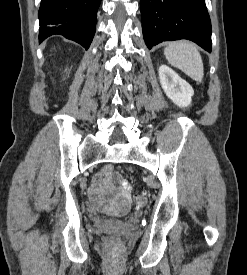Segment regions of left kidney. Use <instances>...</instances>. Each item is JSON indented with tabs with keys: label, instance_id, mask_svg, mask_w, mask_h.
I'll return each instance as SVG.
<instances>
[{
	"label": "left kidney",
	"instance_id": "1",
	"mask_svg": "<svg viewBox=\"0 0 247 275\" xmlns=\"http://www.w3.org/2000/svg\"><path fill=\"white\" fill-rule=\"evenodd\" d=\"M159 79L164 92L174 104L181 108L191 104L194 90L174 70L167 65H161L159 68Z\"/></svg>",
	"mask_w": 247,
	"mask_h": 275
}]
</instances>
